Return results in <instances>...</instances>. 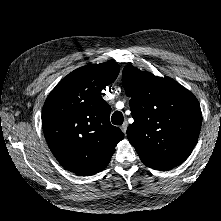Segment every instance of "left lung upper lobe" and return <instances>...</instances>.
Instances as JSON below:
<instances>
[{
  "label": "left lung upper lobe",
  "mask_w": 221,
  "mask_h": 221,
  "mask_svg": "<svg viewBox=\"0 0 221 221\" xmlns=\"http://www.w3.org/2000/svg\"><path fill=\"white\" fill-rule=\"evenodd\" d=\"M122 84L130 97L134 123L127 137L145 165L169 169L191 154L201 129L196 97L169 77H157L132 65L123 69Z\"/></svg>",
  "instance_id": "1"
}]
</instances>
